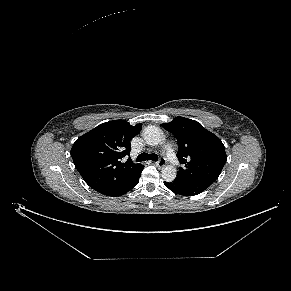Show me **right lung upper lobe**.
Segmentation results:
<instances>
[{
  "instance_id": "1",
  "label": "right lung upper lobe",
  "mask_w": 291,
  "mask_h": 291,
  "mask_svg": "<svg viewBox=\"0 0 291 291\" xmlns=\"http://www.w3.org/2000/svg\"><path fill=\"white\" fill-rule=\"evenodd\" d=\"M141 130V124L131 126L125 120L100 124L80 136L71 149L76 169L85 182L101 192L117 188L132 179L143 165L129 158L130 140Z\"/></svg>"
}]
</instances>
